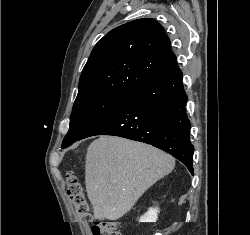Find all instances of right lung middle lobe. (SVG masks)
Segmentation results:
<instances>
[{
    "label": "right lung middle lobe",
    "instance_id": "right-lung-middle-lobe-1",
    "mask_svg": "<svg viewBox=\"0 0 250 235\" xmlns=\"http://www.w3.org/2000/svg\"><path fill=\"white\" fill-rule=\"evenodd\" d=\"M133 93L98 92L75 100L62 147L79 140L88 130L119 109Z\"/></svg>",
    "mask_w": 250,
    "mask_h": 235
}]
</instances>
